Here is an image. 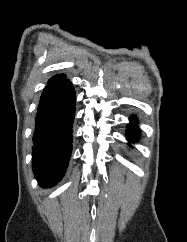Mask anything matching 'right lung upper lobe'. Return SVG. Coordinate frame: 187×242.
<instances>
[{"label": "right lung upper lobe", "mask_w": 187, "mask_h": 242, "mask_svg": "<svg viewBox=\"0 0 187 242\" xmlns=\"http://www.w3.org/2000/svg\"><path fill=\"white\" fill-rule=\"evenodd\" d=\"M62 77H64L63 74L56 75V76L52 77V78L49 80V82H51V81H55V80L60 79V78H62Z\"/></svg>", "instance_id": "right-lung-upper-lobe-1"}]
</instances>
